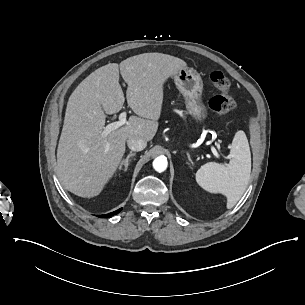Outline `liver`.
<instances>
[{
  "instance_id": "obj_1",
  "label": "liver",
  "mask_w": 305,
  "mask_h": 305,
  "mask_svg": "<svg viewBox=\"0 0 305 305\" xmlns=\"http://www.w3.org/2000/svg\"><path fill=\"white\" fill-rule=\"evenodd\" d=\"M187 67L180 58L143 53L109 63L87 76L69 97L57 149V176L80 197L97 196L116 171L129 137L150 141L158 129L163 83ZM119 70L127 83L131 116L126 126L103 135L106 114L119 112L125 102ZM105 111V113H104Z\"/></svg>"
}]
</instances>
